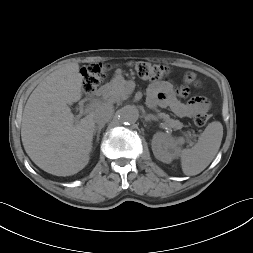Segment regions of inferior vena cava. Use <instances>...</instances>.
Segmentation results:
<instances>
[{
  "label": "inferior vena cava",
  "mask_w": 253,
  "mask_h": 253,
  "mask_svg": "<svg viewBox=\"0 0 253 253\" xmlns=\"http://www.w3.org/2000/svg\"><path fill=\"white\" fill-rule=\"evenodd\" d=\"M113 115V107L111 104H102L94 111V121L98 125H105Z\"/></svg>",
  "instance_id": "602c4592"
}]
</instances>
